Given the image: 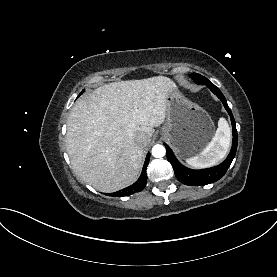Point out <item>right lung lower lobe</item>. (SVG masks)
<instances>
[{
	"label": "right lung lower lobe",
	"mask_w": 277,
	"mask_h": 277,
	"mask_svg": "<svg viewBox=\"0 0 277 277\" xmlns=\"http://www.w3.org/2000/svg\"><path fill=\"white\" fill-rule=\"evenodd\" d=\"M149 160H150V153L147 154V157L145 159V163H144V166H143V169H142L141 176L139 177V179L134 184H132L131 186L126 187V188H124L120 191H117V192H114V193H108L106 195L122 197V196L132 195L135 192L142 191L145 188L146 183H147L146 169H147Z\"/></svg>",
	"instance_id": "right-lung-lower-lobe-1"
}]
</instances>
